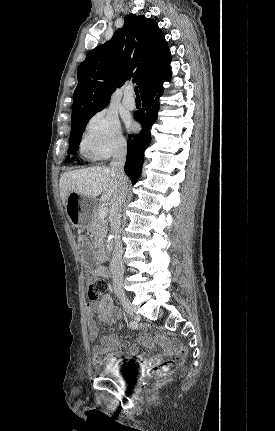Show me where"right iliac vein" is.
I'll list each match as a JSON object with an SVG mask.
<instances>
[{
    "mask_svg": "<svg viewBox=\"0 0 275 431\" xmlns=\"http://www.w3.org/2000/svg\"><path fill=\"white\" fill-rule=\"evenodd\" d=\"M118 297H119V300H120L123 308L125 309V311L132 314L133 313V306H132V303L130 302V300L128 299V297L124 293H119Z\"/></svg>",
    "mask_w": 275,
    "mask_h": 431,
    "instance_id": "right-iliac-vein-1",
    "label": "right iliac vein"
}]
</instances>
